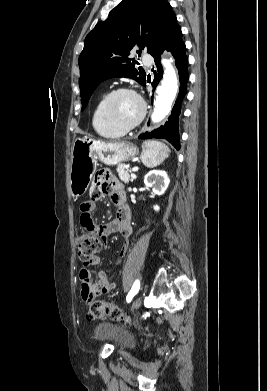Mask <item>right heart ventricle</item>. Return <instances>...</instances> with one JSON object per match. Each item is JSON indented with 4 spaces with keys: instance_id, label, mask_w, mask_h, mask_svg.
<instances>
[{
    "instance_id": "e07e8e85",
    "label": "right heart ventricle",
    "mask_w": 267,
    "mask_h": 391,
    "mask_svg": "<svg viewBox=\"0 0 267 391\" xmlns=\"http://www.w3.org/2000/svg\"><path fill=\"white\" fill-rule=\"evenodd\" d=\"M106 95H102L93 110L92 113V126L97 134L105 138H117L124 133L110 127L103 118L102 105Z\"/></svg>"
}]
</instances>
